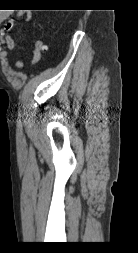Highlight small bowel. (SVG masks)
Wrapping results in <instances>:
<instances>
[{
	"mask_svg": "<svg viewBox=\"0 0 138 253\" xmlns=\"http://www.w3.org/2000/svg\"><path fill=\"white\" fill-rule=\"evenodd\" d=\"M6 15L5 12L0 15V24L3 22ZM21 15H23L27 21L32 18L30 13H21ZM14 24L15 20L10 19L5 23L4 27L0 28V45L2 47L1 56L4 59L7 57V53L12 51L15 47L14 41L10 36V31L14 27ZM16 66L17 68H21L23 66L22 60H18Z\"/></svg>",
	"mask_w": 138,
	"mask_h": 253,
	"instance_id": "1",
	"label": "small bowel"
}]
</instances>
